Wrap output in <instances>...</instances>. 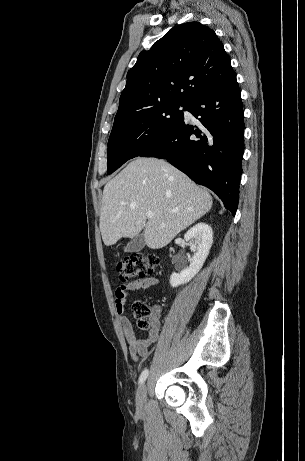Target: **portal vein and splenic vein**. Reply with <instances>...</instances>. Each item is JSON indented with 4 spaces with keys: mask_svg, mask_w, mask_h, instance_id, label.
<instances>
[{
    "mask_svg": "<svg viewBox=\"0 0 305 461\" xmlns=\"http://www.w3.org/2000/svg\"><path fill=\"white\" fill-rule=\"evenodd\" d=\"M146 217L149 218V219L153 218L154 217L153 212H151V211L146 212Z\"/></svg>",
    "mask_w": 305,
    "mask_h": 461,
    "instance_id": "obj_1",
    "label": "portal vein and splenic vein"
}]
</instances>
